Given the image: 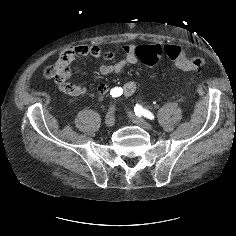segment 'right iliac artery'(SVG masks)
I'll return each mask as SVG.
<instances>
[{"label": "right iliac artery", "mask_w": 236, "mask_h": 236, "mask_svg": "<svg viewBox=\"0 0 236 236\" xmlns=\"http://www.w3.org/2000/svg\"><path fill=\"white\" fill-rule=\"evenodd\" d=\"M122 94H123V89L121 87H115V88L111 89V92H110V95L113 98L119 97Z\"/></svg>", "instance_id": "82829eb1"}]
</instances>
